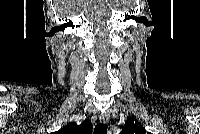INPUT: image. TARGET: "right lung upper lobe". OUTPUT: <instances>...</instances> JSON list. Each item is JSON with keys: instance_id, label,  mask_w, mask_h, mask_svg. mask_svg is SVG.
<instances>
[{"instance_id": "cb5924a9", "label": "right lung upper lobe", "mask_w": 200, "mask_h": 134, "mask_svg": "<svg viewBox=\"0 0 200 134\" xmlns=\"http://www.w3.org/2000/svg\"><path fill=\"white\" fill-rule=\"evenodd\" d=\"M58 134H91L92 127L90 121H84L81 124L69 123L61 130L57 131Z\"/></svg>"}]
</instances>
